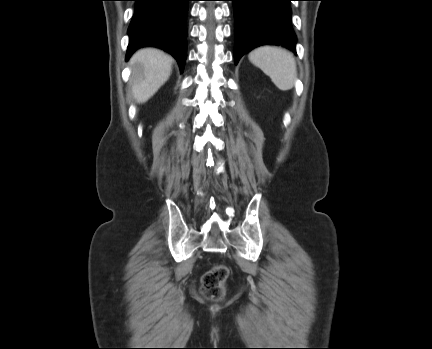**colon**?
Returning a JSON list of instances; mask_svg holds the SVG:
<instances>
[{
  "label": "colon",
  "mask_w": 432,
  "mask_h": 349,
  "mask_svg": "<svg viewBox=\"0 0 432 349\" xmlns=\"http://www.w3.org/2000/svg\"><path fill=\"white\" fill-rule=\"evenodd\" d=\"M228 274V268L224 265H216L207 271L202 277V291L205 296L210 299L222 298Z\"/></svg>",
  "instance_id": "colon-1"
}]
</instances>
